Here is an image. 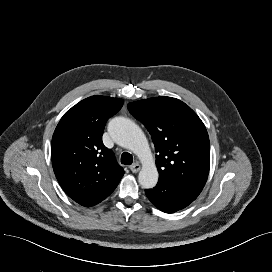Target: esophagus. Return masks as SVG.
I'll list each match as a JSON object with an SVG mask.
<instances>
[{"label":"esophagus","instance_id":"obj_1","mask_svg":"<svg viewBox=\"0 0 272 272\" xmlns=\"http://www.w3.org/2000/svg\"><path fill=\"white\" fill-rule=\"evenodd\" d=\"M129 168L133 173H137L141 169V165L136 162L132 164Z\"/></svg>","mask_w":272,"mask_h":272}]
</instances>
